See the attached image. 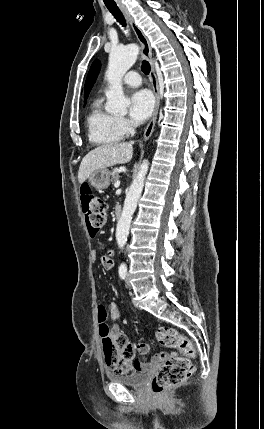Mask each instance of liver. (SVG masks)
<instances>
[{"label":"liver","instance_id":"1","mask_svg":"<svg viewBox=\"0 0 264 429\" xmlns=\"http://www.w3.org/2000/svg\"><path fill=\"white\" fill-rule=\"evenodd\" d=\"M132 155V143L127 142L106 144L95 148L83 158L80 164L79 183L82 184L98 169L129 162Z\"/></svg>","mask_w":264,"mask_h":429}]
</instances>
